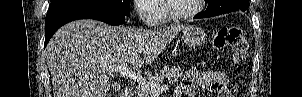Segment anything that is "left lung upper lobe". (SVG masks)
<instances>
[{
    "label": "left lung upper lobe",
    "mask_w": 302,
    "mask_h": 97,
    "mask_svg": "<svg viewBox=\"0 0 302 97\" xmlns=\"http://www.w3.org/2000/svg\"><path fill=\"white\" fill-rule=\"evenodd\" d=\"M208 3L207 10L220 14L237 10L246 11L249 7V0H205Z\"/></svg>",
    "instance_id": "left-lung-upper-lobe-1"
}]
</instances>
